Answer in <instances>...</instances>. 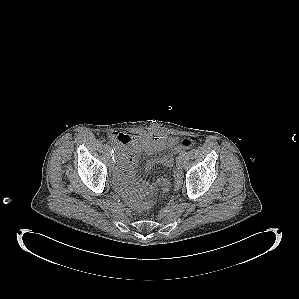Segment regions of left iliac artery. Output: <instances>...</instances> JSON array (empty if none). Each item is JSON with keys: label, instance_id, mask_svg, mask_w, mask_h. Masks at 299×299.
<instances>
[{"label": "left iliac artery", "instance_id": "44dca946", "mask_svg": "<svg viewBox=\"0 0 299 299\" xmlns=\"http://www.w3.org/2000/svg\"><path fill=\"white\" fill-rule=\"evenodd\" d=\"M186 155V151H181L180 156L184 157Z\"/></svg>", "mask_w": 299, "mask_h": 299}]
</instances>
